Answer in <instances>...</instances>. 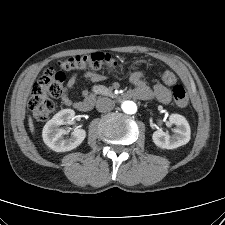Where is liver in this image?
<instances>
[{"mask_svg": "<svg viewBox=\"0 0 225 225\" xmlns=\"http://www.w3.org/2000/svg\"><path fill=\"white\" fill-rule=\"evenodd\" d=\"M28 125H29V128H30V131L32 133H34V125H33L31 117L28 118Z\"/></svg>", "mask_w": 225, "mask_h": 225, "instance_id": "obj_1", "label": "liver"}]
</instances>
